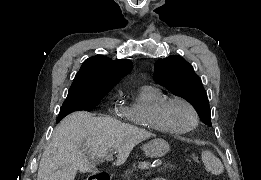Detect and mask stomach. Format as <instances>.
Masks as SVG:
<instances>
[{"instance_id": "0dacf381", "label": "stomach", "mask_w": 261, "mask_h": 180, "mask_svg": "<svg viewBox=\"0 0 261 180\" xmlns=\"http://www.w3.org/2000/svg\"><path fill=\"white\" fill-rule=\"evenodd\" d=\"M169 149L170 147L168 142L157 138L145 144L144 153L147 157L158 158L164 156L169 151Z\"/></svg>"}]
</instances>
